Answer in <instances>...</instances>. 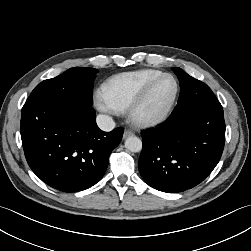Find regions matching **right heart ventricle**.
I'll return each mask as SVG.
<instances>
[{"label":"right heart ventricle","mask_w":251,"mask_h":251,"mask_svg":"<svg viewBox=\"0 0 251 251\" xmlns=\"http://www.w3.org/2000/svg\"><path fill=\"white\" fill-rule=\"evenodd\" d=\"M161 74L163 72L156 69L119 73L103 84V90L118 109L124 111L129 108L146 84Z\"/></svg>","instance_id":"1"}]
</instances>
